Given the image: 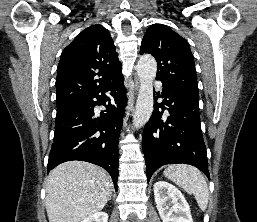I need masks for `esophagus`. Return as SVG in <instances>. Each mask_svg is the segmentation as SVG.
<instances>
[{
  "mask_svg": "<svg viewBox=\"0 0 257 222\" xmlns=\"http://www.w3.org/2000/svg\"><path fill=\"white\" fill-rule=\"evenodd\" d=\"M135 87H136V89H138V87H139V83H138L137 80H136V82H135Z\"/></svg>",
  "mask_w": 257,
  "mask_h": 222,
  "instance_id": "34e87169",
  "label": "esophagus"
}]
</instances>
